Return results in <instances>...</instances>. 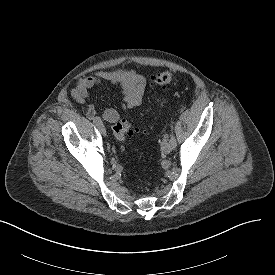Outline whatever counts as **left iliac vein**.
<instances>
[{
	"label": "left iliac vein",
	"mask_w": 275,
	"mask_h": 275,
	"mask_svg": "<svg viewBox=\"0 0 275 275\" xmlns=\"http://www.w3.org/2000/svg\"><path fill=\"white\" fill-rule=\"evenodd\" d=\"M173 145L170 140L164 139L161 143V149L164 153H170L173 149Z\"/></svg>",
	"instance_id": "1"
}]
</instances>
